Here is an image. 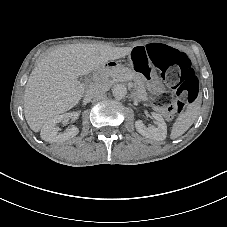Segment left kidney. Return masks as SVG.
Segmentation results:
<instances>
[{
	"label": "left kidney",
	"mask_w": 227,
	"mask_h": 227,
	"mask_svg": "<svg viewBox=\"0 0 227 227\" xmlns=\"http://www.w3.org/2000/svg\"><path fill=\"white\" fill-rule=\"evenodd\" d=\"M151 115L155 119V123L157 127L155 126L146 127L143 124L142 120H137L135 122V128L137 132L140 133L142 136L152 140H156V141L165 140L167 136V125L163 117L156 112H152Z\"/></svg>",
	"instance_id": "5707ae66"
}]
</instances>
